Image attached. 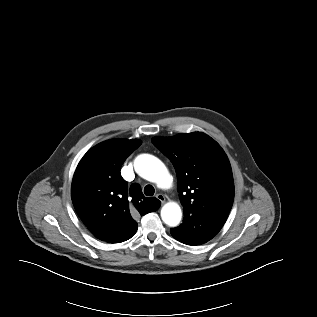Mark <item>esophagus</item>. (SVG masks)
<instances>
[{
	"instance_id": "1",
	"label": "esophagus",
	"mask_w": 317,
	"mask_h": 317,
	"mask_svg": "<svg viewBox=\"0 0 317 317\" xmlns=\"http://www.w3.org/2000/svg\"><path fill=\"white\" fill-rule=\"evenodd\" d=\"M157 199H159L161 201V203H164L165 202V196L163 194H157L156 195Z\"/></svg>"
}]
</instances>
